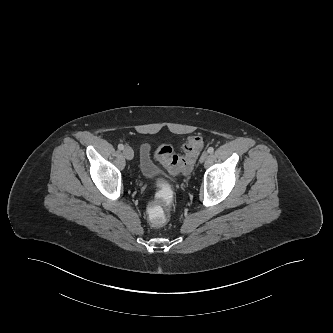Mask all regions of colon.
<instances>
[{
    "label": "colon",
    "instance_id": "1",
    "mask_svg": "<svg viewBox=\"0 0 333 333\" xmlns=\"http://www.w3.org/2000/svg\"><path fill=\"white\" fill-rule=\"evenodd\" d=\"M203 147V141L199 136L188 138L182 147V154L174 152L171 145H160L154 157L167 169L172 175L179 173H189ZM153 185L157 190L152 197V202L146 211L149 223L156 228L164 227L169 220L166 209L173 206L175 200V191L169 184V178L165 174H157L153 178Z\"/></svg>",
    "mask_w": 333,
    "mask_h": 333
}]
</instances>
